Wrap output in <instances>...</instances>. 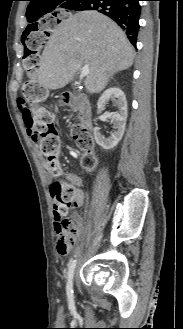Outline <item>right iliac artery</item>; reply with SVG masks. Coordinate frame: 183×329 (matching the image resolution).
Returning a JSON list of instances; mask_svg holds the SVG:
<instances>
[{"label": "right iliac artery", "mask_w": 183, "mask_h": 329, "mask_svg": "<svg viewBox=\"0 0 183 329\" xmlns=\"http://www.w3.org/2000/svg\"><path fill=\"white\" fill-rule=\"evenodd\" d=\"M75 267H76V260H73L70 263V265H69L68 278H67L68 281H67V287H66V289H67V296H68V301H69V306L70 307H73L74 306V300H73V276H74Z\"/></svg>", "instance_id": "obj_1"}]
</instances>
